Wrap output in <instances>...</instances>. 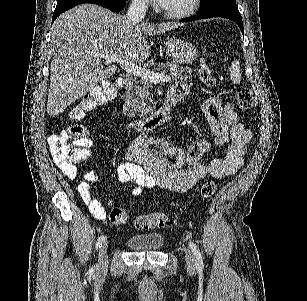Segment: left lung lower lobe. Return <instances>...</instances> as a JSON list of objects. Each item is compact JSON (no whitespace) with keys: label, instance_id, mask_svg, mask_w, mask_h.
I'll list each match as a JSON object with an SVG mask.
<instances>
[{"label":"left lung lower lobe","instance_id":"0a47b994","mask_svg":"<svg viewBox=\"0 0 307 301\" xmlns=\"http://www.w3.org/2000/svg\"><path fill=\"white\" fill-rule=\"evenodd\" d=\"M212 17H223V18L233 20L236 24H238L242 33L244 34L242 18H241V16H237V15L218 14V13L198 14V15L192 17V18L183 19V20H181V22H189V21H194V20H198V19H206V18H212Z\"/></svg>","mask_w":307,"mask_h":301}]
</instances>
